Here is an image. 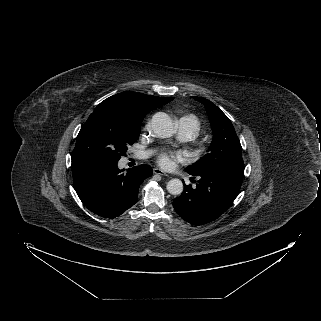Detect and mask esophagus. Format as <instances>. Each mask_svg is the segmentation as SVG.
<instances>
[{
	"label": "esophagus",
	"mask_w": 321,
	"mask_h": 321,
	"mask_svg": "<svg viewBox=\"0 0 321 321\" xmlns=\"http://www.w3.org/2000/svg\"><path fill=\"white\" fill-rule=\"evenodd\" d=\"M154 174L162 175V176H168L167 173H165L163 170L159 168H154L153 169Z\"/></svg>",
	"instance_id": "34e87169"
}]
</instances>
